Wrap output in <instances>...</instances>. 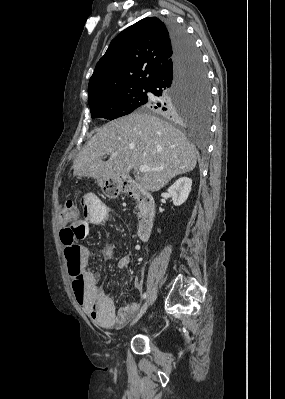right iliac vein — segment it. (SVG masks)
<instances>
[{
    "label": "right iliac vein",
    "mask_w": 285,
    "mask_h": 399,
    "mask_svg": "<svg viewBox=\"0 0 285 399\" xmlns=\"http://www.w3.org/2000/svg\"><path fill=\"white\" fill-rule=\"evenodd\" d=\"M151 299L150 297H148L144 304L142 305V307L140 308L139 312L137 313L136 317L133 319V321L130 323V327H132L141 317L142 315L145 313V311L147 310L148 306L150 305Z\"/></svg>",
    "instance_id": "1"
}]
</instances>
